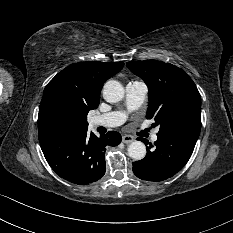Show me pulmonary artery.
<instances>
[{"instance_id": "1", "label": "pulmonary artery", "mask_w": 233, "mask_h": 233, "mask_svg": "<svg viewBox=\"0 0 233 233\" xmlns=\"http://www.w3.org/2000/svg\"><path fill=\"white\" fill-rule=\"evenodd\" d=\"M126 104L128 110H134L140 107L145 101L147 95V86L141 81H130L126 85ZM126 120V113L122 111H113L110 113L95 116L92 120L95 126L116 127ZM158 136L152 135V140L156 141Z\"/></svg>"}]
</instances>
